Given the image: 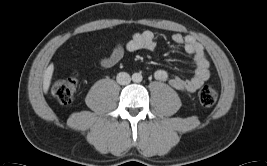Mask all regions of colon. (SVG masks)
<instances>
[{
    "instance_id": "obj_1",
    "label": "colon",
    "mask_w": 267,
    "mask_h": 166,
    "mask_svg": "<svg viewBox=\"0 0 267 166\" xmlns=\"http://www.w3.org/2000/svg\"><path fill=\"white\" fill-rule=\"evenodd\" d=\"M78 81L76 76L60 79L52 87L55 98L64 105L72 103ZM199 101L204 106H213L218 99V92L210 84H205L199 91Z\"/></svg>"
}]
</instances>
